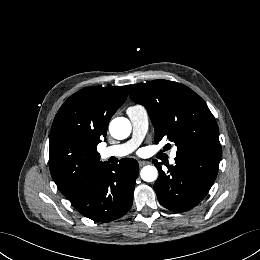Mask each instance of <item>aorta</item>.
Here are the masks:
<instances>
[{"label":"aorta","mask_w":260,"mask_h":260,"mask_svg":"<svg viewBox=\"0 0 260 260\" xmlns=\"http://www.w3.org/2000/svg\"><path fill=\"white\" fill-rule=\"evenodd\" d=\"M131 123L127 118L117 117L110 122L109 131L113 138L122 140L131 133ZM140 176L146 182H153L158 178V170L155 166L147 165L141 169Z\"/></svg>","instance_id":"1"}]
</instances>
